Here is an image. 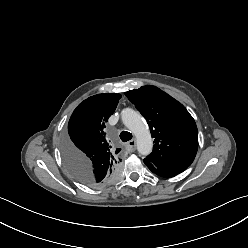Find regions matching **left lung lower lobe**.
<instances>
[{
  "instance_id": "0a47b994",
  "label": "left lung lower lobe",
  "mask_w": 248,
  "mask_h": 248,
  "mask_svg": "<svg viewBox=\"0 0 248 248\" xmlns=\"http://www.w3.org/2000/svg\"><path fill=\"white\" fill-rule=\"evenodd\" d=\"M144 163L153 173H155L158 176L165 177V178H170V177L176 176L177 174L183 172L184 170H186L188 168V166L159 168V167L154 166L152 163H150L148 161L144 160Z\"/></svg>"
}]
</instances>
